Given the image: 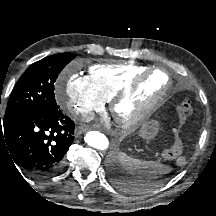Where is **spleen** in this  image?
Here are the masks:
<instances>
[{
    "label": "spleen",
    "mask_w": 216,
    "mask_h": 216,
    "mask_svg": "<svg viewBox=\"0 0 216 216\" xmlns=\"http://www.w3.org/2000/svg\"><path fill=\"white\" fill-rule=\"evenodd\" d=\"M119 162L122 167L138 182L157 178L169 172V168L161 163L135 159L120 152Z\"/></svg>",
    "instance_id": "obj_1"
}]
</instances>
